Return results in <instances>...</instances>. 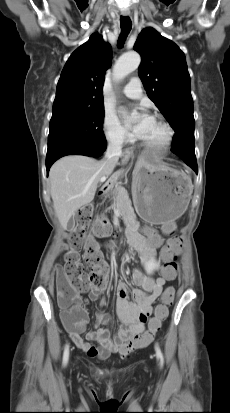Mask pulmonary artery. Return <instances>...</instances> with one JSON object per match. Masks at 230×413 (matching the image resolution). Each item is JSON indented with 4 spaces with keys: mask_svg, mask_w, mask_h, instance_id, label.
Returning a JSON list of instances; mask_svg holds the SVG:
<instances>
[{
    "mask_svg": "<svg viewBox=\"0 0 230 413\" xmlns=\"http://www.w3.org/2000/svg\"><path fill=\"white\" fill-rule=\"evenodd\" d=\"M123 94L132 99H138L142 96V84L138 77H133L124 86L122 90Z\"/></svg>",
    "mask_w": 230,
    "mask_h": 413,
    "instance_id": "pulmonary-artery-1",
    "label": "pulmonary artery"
}]
</instances>
